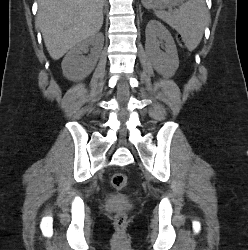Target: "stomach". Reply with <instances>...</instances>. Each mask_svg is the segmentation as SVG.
Returning <instances> with one entry per match:
<instances>
[{
	"label": "stomach",
	"mask_w": 248,
	"mask_h": 250,
	"mask_svg": "<svg viewBox=\"0 0 248 250\" xmlns=\"http://www.w3.org/2000/svg\"><path fill=\"white\" fill-rule=\"evenodd\" d=\"M142 3L148 9H164L177 6L183 0H142Z\"/></svg>",
	"instance_id": "0dacf381"
}]
</instances>
